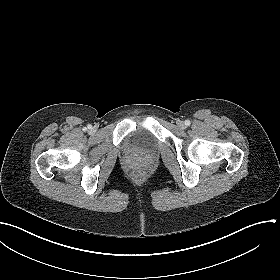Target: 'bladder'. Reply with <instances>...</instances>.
<instances>
[{"label": "bladder", "mask_w": 280, "mask_h": 280, "mask_svg": "<svg viewBox=\"0 0 280 280\" xmlns=\"http://www.w3.org/2000/svg\"><path fill=\"white\" fill-rule=\"evenodd\" d=\"M127 143L129 146L143 151H149L153 149L152 139L143 132L135 133L130 136L127 140Z\"/></svg>", "instance_id": "31cf9c89"}]
</instances>
